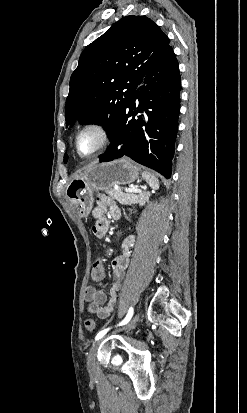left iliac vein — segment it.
<instances>
[{"instance_id":"left-iliac-vein-1","label":"left iliac vein","mask_w":247,"mask_h":413,"mask_svg":"<svg viewBox=\"0 0 247 413\" xmlns=\"http://www.w3.org/2000/svg\"><path fill=\"white\" fill-rule=\"evenodd\" d=\"M139 320H140V313H137L130 319V321L122 329H118L114 333L130 330L131 328L135 327V325L137 324ZM100 344H101L100 340L94 342L87 356L86 365H87L88 371L91 374L96 373V355H97Z\"/></svg>"}]
</instances>
